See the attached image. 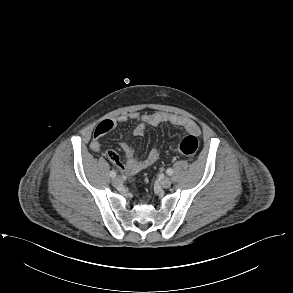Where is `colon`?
<instances>
[{"label": "colon", "mask_w": 293, "mask_h": 293, "mask_svg": "<svg viewBox=\"0 0 293 293\" xmlns=\"http://www.w3.org/2000/svg\"><path fill=\"white\" fill-rule=\"evenodd\" d=\"M199 148V139L195 135H188L173 145L175 152L184 156H193Z\"/></svg>", "instance_id": "1"}]
</instances>
